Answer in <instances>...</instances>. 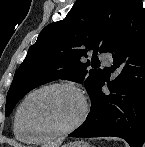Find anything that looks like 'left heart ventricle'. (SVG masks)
<instances>
[{
	"mask_svg": "<svg viewBox=\"0 0 145 147\" xmlns=\"http://www.w3.org/2000/svg\"><path fill=\"white\" fill-rule=\"evenodd\" d=\"M82 109L79 97L68 89H51L26 103L22 119L30 131H57L71 125Z\"/></svg>",
	"mask_w": 145,
	"mask_h": 147,
	"instance_id": "1",
	"label": "left heart ventricle"
}]
</instances>
